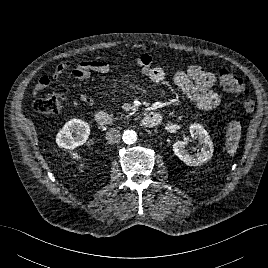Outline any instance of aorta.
Masks as SVG:
<instances>
[{"mask_svg":"<svg viewBox=\"0 0 268 268\" xmlns=\"http://www.w3.org/2000/svg\"><path fill=\"white\" fill-rule=\"evenodd\" d=\"M122 139L126 144H134L137 141V134L133 130H126L122 135Z\"/></svg>","mask_w":268,"mask_h":268,"instance_id":"aorta-1","label":"aorta"}]
</instances>
